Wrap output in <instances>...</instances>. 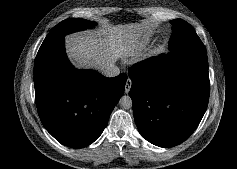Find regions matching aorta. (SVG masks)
I'll list each match as a JSON object with an SVG mask.
<instances>
[{
	"label": "aorta",
	"instance_id": "1",
	"mask_svg": "<svg viewBox=\"0 0 237 169\" xmlns=\"http://www.w3.org/2000/svg\"><path fill=\"white\" fill-rule=\"evenodd\" d=\"M119 106L125 110L130 109L132 107V99L130 98V96H122L119 100Z\"/></svg>",
	"mask_w": 237,
	"mask_h": 169
}]
</instances>
